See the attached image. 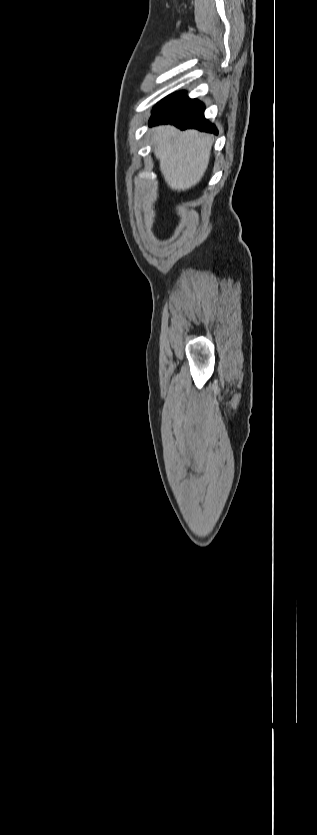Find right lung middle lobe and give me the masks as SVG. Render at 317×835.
I'll list each match as a JSON object with an SVG mask.
<instances>
[{
    "label": "right lung middle lobe",
    "mask_w": 317,
    "mask_h": 835,
    "mask_svg": "<svg viewBox=\"0 0 317 835\" xmlns=\"http://www.w3.org/2000/svg\"><path fill=\"white\" fill-rule=\"evenodd\" d=\"M185 93H186L185 91H181V92H178V93H175V94H172V95H170V96L166 97L165 99H163L162 101H160V102H159V103H158V104L154 107L153 111H154V110H156V109H158V108H160V107H162V106H164V105H166V104H168V103H170V102H172V101H174V100H176V99H178L179 97L183 96Z\"/></svg>",
    "instance_id": "1"
}]
</instances>
